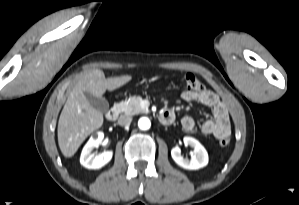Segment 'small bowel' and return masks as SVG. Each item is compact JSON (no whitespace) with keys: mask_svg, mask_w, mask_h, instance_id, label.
I'll return each mask as SVG.
<instances>
[{"mask_svg":"<svg viewBox=\"0 0 299 205\" xmlns=\"http://www.w3.org/2000/svg\"><path fill=\"white\" fill-rule=\"evenodd\" d=\"M181 97L188 102H198L209 107L212 110V118L205 120L201 126L200 131L204 135H212L216 139L228 137L230 135V121L228 112L220 101L219 97L210 90L202 92H192L185 90ZM162 112L174 113L170 109H164ZM181 125L185 131H192L196 128V121L190 116H184L181 120Z\"/></svg>","mask_w":299,"mask_h":205,"instance_id":"small-bowel-1","label":"small bowel"}]
</instances>
